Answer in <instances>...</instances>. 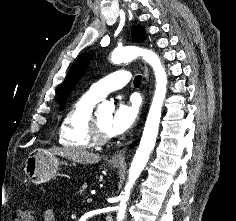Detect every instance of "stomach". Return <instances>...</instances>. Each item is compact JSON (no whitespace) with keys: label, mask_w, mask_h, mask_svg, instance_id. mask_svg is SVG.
<instances>
[{"label":"stomach","mask_w":236,"mask_h":221,"mask_svg":"<svg viewBox=\"0 0 236 221\" xmlns=\"http://www.w3.org/2000/svg\"><path fill=\"white\" fill-rule=\"evenodd\" d=\"M63 163L54 154L43 149H37L28 155L24 172L33 183L41 184L52 179ZM112 166L118 168L120 164L112 163Z\"/></svg>","instance_id":"stomach-1"}]
</instances>
